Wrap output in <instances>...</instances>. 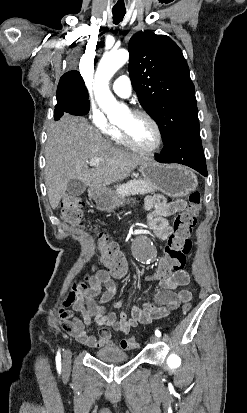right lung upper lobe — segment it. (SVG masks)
Segmentation results:
<instances>
[{
    "label": "right lung upper lobe",
    "instance_id": "right-lung-upper-lobe-1",
    "mask_svg": "<svg viewBox=\"0 0 247 413\" xmlns=\"http://www.w3.org/2000/svg\"><path fill=\"white\" fill-rule=\"evenodd\" d=\"M83 81L82 76L80 75V73L76 70L74 71H69L67 73H65L59 82H64V81Z\"/></svg>",
    "mask_w": 247,
    "mask_h": 413
}]
</instances>
